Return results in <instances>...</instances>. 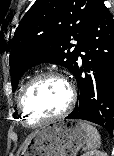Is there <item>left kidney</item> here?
<instances>
[{
    "label": "left kidney",
    "mask_w": 114,
    "mask_h": 156,
    "mask_svg": "<svg viewBox=\"0 0 114 156\" xmlns=\"http://www.w3.org/2000/svg\"><path fill=\"white\" fill-rule=\"evenodd\" d=\"M83 156H107V154L101 151L93 150V151L87 152L86 154H83Z\"/></svg>",
    "instance_id": "1"
}]
</instances>
